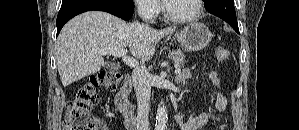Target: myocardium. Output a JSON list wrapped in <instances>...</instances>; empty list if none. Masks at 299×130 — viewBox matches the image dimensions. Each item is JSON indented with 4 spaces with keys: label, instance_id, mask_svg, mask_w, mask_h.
<instances>
[{
    "label": "myocardium",
    "instance_id": "1",
    "mask_svg": "<svg viewBox=\"0 0 299 130\" xmlns=\"http://www.w3.org/2000/svg\"><path fill=\"white\" fill-rule=\"evenodd\" d=\"M196 1V8L195 11L189 15H185V16H173L170 14L169 10H168V0L163 1L162 4V9H163V14L164 17L171 22L174 23H189V22H193L196 19H198V17L201 15L202 11H203V0H195Z\"/></svg>",
    "mask_w": 299,
    "mask_h": 130
}]
</instances>
